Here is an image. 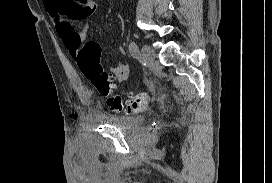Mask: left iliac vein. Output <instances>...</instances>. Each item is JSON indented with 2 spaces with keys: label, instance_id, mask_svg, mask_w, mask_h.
I'll return each mask as SVG.
<instances>
[{
  "label": "left iliac vein",
  "instance_id": "obj_1",
  "mask_svg": "<svg viewBox=\"0 0 272 183\" xmlns=\"http://www.w3.org/2000/svg\"><path fill=\"white\" fill-rule=\"evenodd\" d=\"M156 59V53L153 48L148 45H143L141 49V60L144 65L153 67Z\"/></svg>",
  "mask_w": 272,
  "mask_h": 183
}]
</instances>
